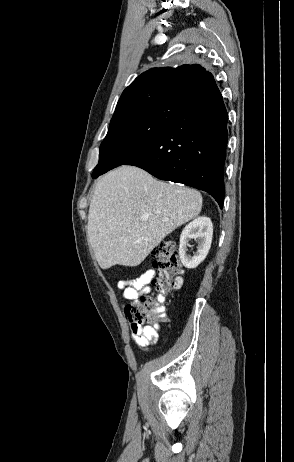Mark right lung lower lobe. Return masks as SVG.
<instances>
[{
	"instance_id": "obj_1",
	"label": "right lung lower lobe",
	"mask_w": 294,
	"mask_h": 462,
	"mask_svg": "<svg viewBox=\"0 0 294 462\" xmlns=\"http://www.w3.org/2000/svg\"><path fill=\"white\" fill-rule=\"evenodd\" d=\"M184 97L186 105L173 121L123 164L204 190L222 208L228 141V114L222 95L214 83L204 92Z\"/></svg>"
}]
</instances>
